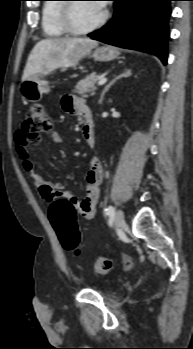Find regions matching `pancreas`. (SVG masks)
I'll list each match as a JSON object with an SVG mask.
<instances>
[{
    "label": "pancreas",
    "instance_id": "pancreas-1",
    "mask_svg": "<svg viewBox=\"0 0 193 349\" xmlns=\"http://www.w3.org/2000/svg\"><path fill=\"white\" fill-rule=\"evenodd\" d=\"M100 76L96 73L87 75L84 79L80 80L74 90V93H78L83 97H87V94H94L96 90V83L98 82Z\"/></svg>",
    "mask_w": 193,
    "mask_h": 349
}]
</instances>
